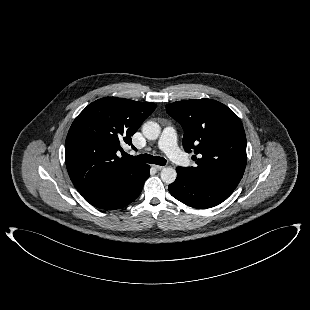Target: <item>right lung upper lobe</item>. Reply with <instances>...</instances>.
<instances>
[{
	"label": "right lung upper lobe",
	"instance_id": "cb5924a9",
	"mask_svg": "<svg viewBox=\"0 0 310 310\" xmlns=\"http://www.w3.org/2000/svg\"><path fill=\"white\" fill-rule=\"evenodd\" d=\"M154 103L105 97L89 104L74 120L65 142L66 167L83 196L124 184L145 164L120 159V144L155 110Z\"/></svg>",
	"mask_w": 310,
	"mask_h": 310
}]
</instances>
